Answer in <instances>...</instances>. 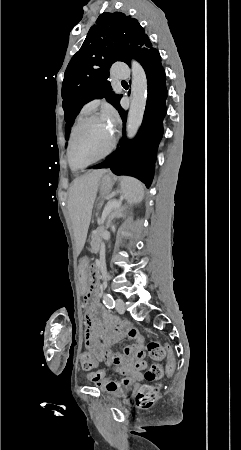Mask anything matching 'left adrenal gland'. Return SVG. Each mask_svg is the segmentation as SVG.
Here are the masks:
<instances>
[{
	"label": "left adrenal gland",
	"mask_w": 241,
	"mask_h": 450,
	"mask_svg": "<svg viewBox=\"0 0 241 450\" xmlns=\"http://www.w3.org/2000/svg\"><path fill=\"white\" fill-rule=\"evenodd\" d=\"M124 210H125L124 206H121V208H115L114 218H121V216H124L123 214Z\"/></svg>",
	"instance_id": "left-adrenal-gland-1"
}]
</instances>
